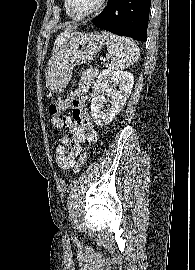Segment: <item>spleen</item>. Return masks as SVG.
Returning <instances> with one entry per match:
<instances>
[{
    "mask_svg": "<svg viewBox=\"0 0 195 270\" xmlns=\"http://www.w3.org/2000/svg\"><path fill=\"white\" fill-rule=\"evenodd\" d=\"M102 37L106 41L108 52L112 55L111 69L120 71L138 61L140 50L132 39L108 31H103Z\"/></svg>",
    "mask_w": 195,
    "mask_h": 270,
    "instance_id": "1",
    "label": "spleen"
}]
</instances>
